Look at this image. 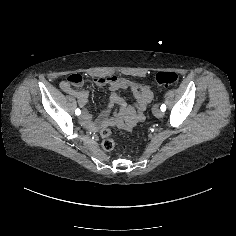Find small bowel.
I'll list each match as a JSON object with an SVG mask.
<instances>
[{"instance_id": "small-bowel-1", "label": "small bowel", "mask_w": 236, "mask_h": 236, "mask_svg": "<svg viewBox=\"0 0 236 236\" xmlns=\"http://www.w3.org/2000/svg\"><path fill=\"white\" fill-rule=\"evenodd\" d=\"M104 82H105V81H103V79H97V80H96V83H97L98 85H101V84H103ZM61 88H62L65 92H67V93H69V94H72V93H78V94H80L81 96L85 97V100H84L83 102H80V104H81V105H84V104L86 103V101H87V92H85V91H80V92H79V91L74 90V89L72 88L71 84H69L68 81H63V82L61 83ZM143 93H144L145 96H146V103L142 106L141 110H144V109L146 108L147 104L150 102V100H151V98H152V94H151V92H150L149 90L145 89V90L143 91ZM85 118H86V119L89 118V115L87 114Z\"/></svg>"}]
</instances>
